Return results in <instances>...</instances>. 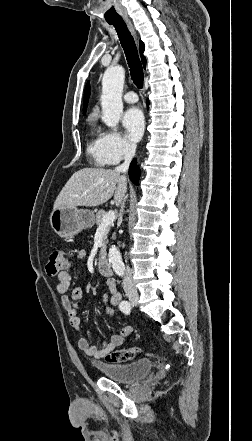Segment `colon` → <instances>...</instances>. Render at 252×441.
Returning <instances> with one entry per match:
<instances>
[{"instance_id": "obj_1", "label": "colon", "mask_w": 252, "mask_h": 441, "mask_svg": "<svg viewBox=\"0 0 252 441\" xmlns=\"http://www.w3.org/2000/svg\"><path fill=\"white\" fill-rule=\"evenodd\" d=\"M68 264V258L64 251L54 250L49 256V261L46 265V272L48 275H56L63 271ZM115 308L112 305H104L102 309V315L106 318L114 316ZM140 353V349L132 347L128 349H120L112 351L106 355V360L111 363H123L134 359Z\"/></svg>"}]
</instances>
